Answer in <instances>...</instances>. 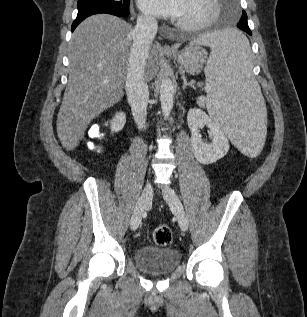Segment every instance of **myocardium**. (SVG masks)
I'll return each instance as SVG.
<instances>
[{
  "mask_svg": "<svg viewBox=\"0 0 307 317\" xmlns=\"http://www.w3.org/2000/svg\"><path fill=\"white\" fill-rule=\"evenodd\" d=\"M206 2L212 8L211 12L206 18L198 22H181L178 20L176 25L187 32H198L211 26L219 16L220 3L219 0H206Z\"/></svg>",
  "mask_w": 307,
  "mask_h": 317,
  "instance_id": "myocardium-1",
  "label": "myocardium"
}]
</instances>
